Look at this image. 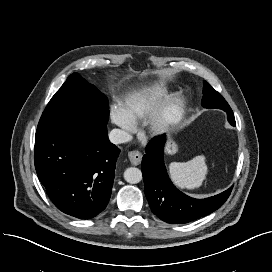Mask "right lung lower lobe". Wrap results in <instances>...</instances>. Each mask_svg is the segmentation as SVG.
I'll list each match as a JSON object with an SVG mask.
<instances>
[{"instance_id":"obj_1","label":"right lung lower lobe","mask_w":272,"mask_h":272,"mask_svg":"<svg viewBox=\"0 0 272 272\" xmlns=\"http://www.w3.org/2000/svg\"><path fill=\"white\" fill-rule=\"evenodd\" d=\"M119 153L108 140L106 125L80 118L36 131L38 178L54 205L76 218L90 219L106 208Z\"/></svg>"}]
</instances>
